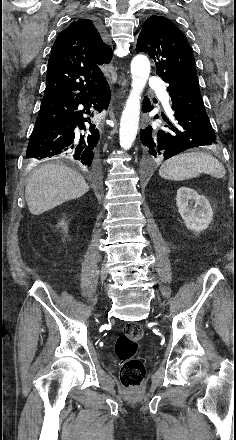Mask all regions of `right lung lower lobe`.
<instances>
[{"mask_svg": "<svg viewBox=\"0 0 236 440\" xmlns=\"http://www.w3.org/2000/svg\"><path fill=\"white\" fill-rule=\"evenodd\" d=\"M110 101L106 80L90 90L44 96L26 157L62 159L95 171L99 130L95 120Z\"/></svg>", "mask_w": 236, "mask_h": 440, "instance_id": "98d812e1", "label": "right lung lower lobe"}]
</instances>
